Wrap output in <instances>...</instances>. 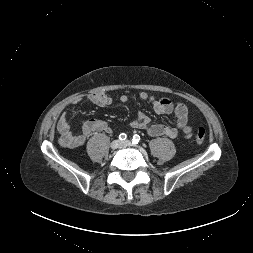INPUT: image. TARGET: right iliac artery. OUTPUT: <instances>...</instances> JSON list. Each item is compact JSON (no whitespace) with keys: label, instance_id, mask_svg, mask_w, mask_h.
Segmentation results:
<instances>
[{"label":"right iliac artery","instance_id":"obj_1","mask_svg":"<svg viewBox=\"0 0 253 253\" xmlns=\"http://www.w3.org/2000/svg\"><path fill=\"white\" fill-rule=\"evenodd\" d=\"M127 138V135L125 133H122L119 135V140L124 141Z\"/></svg>","mask_w":253,"mask_h":253}]
</instances>
